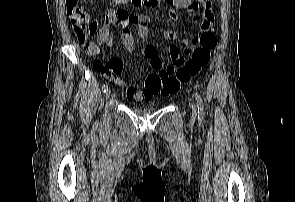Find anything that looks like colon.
<instances>
[{"mask_svg": "<svg viewBox=\"0 0 295 202\" xmlns=\"http://www.w3.org/2000/svg\"><path fill=\"white\" fill-rule=\"evenodd\" d=\"M161 0H115L116 3H130L134 6L156 7ZM172 1V0H166ZM77 0H67L68 17L77 39L84 45L92 43L98 27L85 8L78 6ZM118 17L125 23L136 24L138 19L128 15L125 10H119ZM198 46L185 52L190 58L185 60L181 55L179 60L168 65L158 74H151L145 83V90L160 93L168 97L176 94L182 85H187L196 77L210 61V53L216 47L217 38L213 26L205 27L196 38Z\"/></svg>", "mask_w": 295, "mask_h": 202, "instance_id": "obj_1", "label": "colon"}]
</instances>
